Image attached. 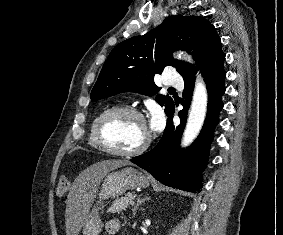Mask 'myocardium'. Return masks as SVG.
Instances as JSON below:
<instances>
[{
    "mask_svg": "<svg viewBox=\"0 0 283 235\" xmlns=\"http://www.w3.org/2000/svg\"><path fill=\"white\" fill-rule=\"evenodd\" d=\"M124 115L134 116L146 126L144 115L138 109L134 107H115L105 112L97 120L93 130L94 140L97 146L105 153L118 157H135L145 152L149 147L151 137L148 131L145 140L137 148L129 151H121L111 147L106 143L103 137V129L105 125L110 120Z\"/></svg>",
    "mask_w": 283,
    "mask_h": 235,
    "instance_id": "f54148a6",
    "label": "myocardium"
}]
</instances>
